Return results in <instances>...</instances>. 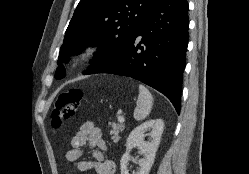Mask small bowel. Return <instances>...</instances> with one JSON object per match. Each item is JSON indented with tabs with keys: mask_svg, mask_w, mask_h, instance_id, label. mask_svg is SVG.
Wrapping results in <instances>:
<instances>
[{
	"mask_svg": "<svg viewBox=\"0 0 249 174\" xmlns=\"http://www.w3.org/2000/svg\"><path fill=\"white\" fill-rule=\"evenodd\" d=\"M70 144L71 149L66 152V160L77 162L80 172L94 170L97 174H116L115 163L104 155L108 145L102 131L93 122H84L72 136ZM86 152L91 153L93 160L79 161Z\"/></svg>",
	"mask_w": 249,
	"mask_h": 174,
	"instance_id": "c3829d8e",
	"label": "small bowel"
}]
</instances>
